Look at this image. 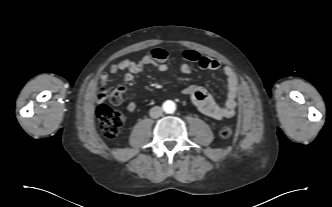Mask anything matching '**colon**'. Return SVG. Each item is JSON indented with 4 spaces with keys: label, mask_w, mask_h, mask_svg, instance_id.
Listing matches in <instances>:
<instances>
[{
    "label": "colon",
    "mask_w": 332,
    "mask_h": 207,
    "mask_svg": "<svg viewBox=\"0 0 332 207\" xmlns=\"http://www.w3.org/2000/svg\"><path fill=\"white\" fill-rule=\"evenodd\" d=\"M107 95L105 92L99 94L100 104L97 107V117L100 122V128L102 134L106 138H114L120 132L121 127L124 124V116L121 112L109 107L105 104ZM109 101L117 105L121 101V97L115 91L109 96ZM232 134V131L229 127H223L220 130V135L223 138H229Z\"/></svg>",
    "instance_id": "colon-1"
}]
</instances>
